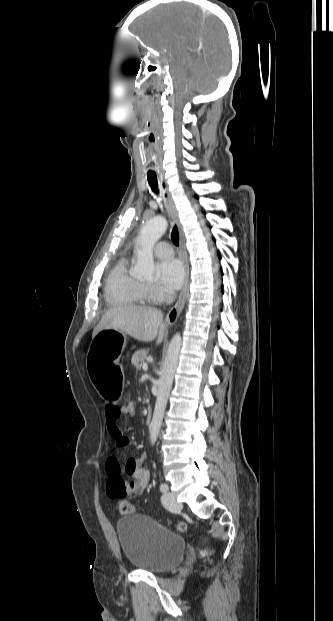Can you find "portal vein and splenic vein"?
Returning <instances> with one entry per match:
<instances>
[{
    "label": "portal vein and splenic vein",
    "mask_w": 333,
    "mask_h": 621,
    "mask_svg": "<svg viewBox=\"0 0 333 621\" xmlns=\"http://www.w3.org/2000/svg\"><path fill=\"white\" fill-rule=\"evenodd\" d=\"M142 369H143L144 371H147V370H148V365H147V364H143V365H142Z\"/></svg>",
    "instance_id": "obj_1"
}]
</instances>
